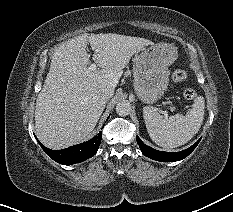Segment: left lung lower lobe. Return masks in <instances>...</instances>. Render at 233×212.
I'll use <instances>...</instances> for the list:
<instances>
[{
  "mask_svg": "<svg viewBox=\"0 0 233 212\" xmlns=\"http://www.w3.org/2000/svg\"><path fill=\"white\" fill-rule=\"evenodd\" d=\"M200 140H198L194 145L189 147L186 150L180 152H163L155 150L147 145H145L140 138L137 136V143L142 151V153L154 160L162 161V162H175L184 159L187 157L198 145Z\"/></svg>",
  "mask_w": 233,
  "mask_h": 212,
  "instance_id": "obj_1",
  "label": "left lung lower lobe"
}]
</instances>
